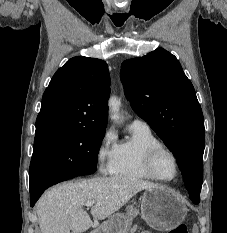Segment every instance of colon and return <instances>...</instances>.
I'll list each match as a JSON object with an SVG mask.
<instances>
[{
  "label": "colon",
  "instance_id": "obj_1",
  "mask_svg": "<svg viewBox=\"0 0 227 233\" xmlns=\"http://www.w3.org/2000/svg\"><path fill=\"white\" fill-rule=\"evenodd\" d=\"M141 233H151L148 231H143ZM168 233H188L187 227L185 225H179Z\"/></svg>",
  "mask_w": 227,
  "mask_h": 233
}]
</instances>
